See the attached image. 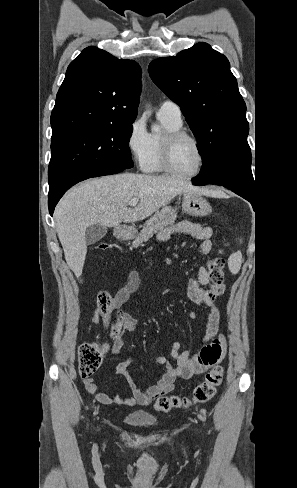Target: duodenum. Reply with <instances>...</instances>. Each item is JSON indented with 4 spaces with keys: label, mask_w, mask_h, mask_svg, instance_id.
I'll list each match as a JSON object with an SVG mask.
<instances>
[{
    "label": "duodenum",
    "mask_w": 297,
    "mask_h": 488,
    "mask_svg": "<svg viewBox=\"0 0 297 488\" xmlns=\"http://www.w3.org/2000/svg\"><path fill=\"white\" fill-rule=\"evenodd\" d=\"M116 235L120 240H127L130 236V231L125 226H118L116 228Z\"/></svg>",
    "instance_id": "1"
}]
</instances>
